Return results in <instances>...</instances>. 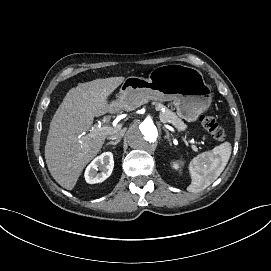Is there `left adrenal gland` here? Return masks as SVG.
Instances as JSON below:
<instances>
[{
    "mask_svg": "<svg viewBox=\"0 0 271 271\" xmlns=\"http://www.w3.org/2000/svg\"><path fill=\"white\" fill-rule=\"evenodd\" d=\"M163 130L167 133V136L165 137V140L168 142V145L171 146L172 144L170 142V134H169L167 129L164 128Z\"/></svg>",
    "mask_w": 271,
    "mask_h": 271,
    "instance_id": "1",
    "label": "left adrenal gland"
}]
</instances>
